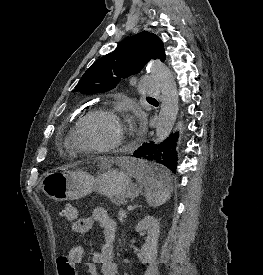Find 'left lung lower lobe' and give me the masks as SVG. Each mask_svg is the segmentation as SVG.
<instances>
[{
  "label": "left lung lower lobe",
  "mask_w": 263,
  "mask_h": 275,
  "mask_svg": "<svg viewBox=\"0 0 263 275\" xmlns=\"http://www.w3.org/2000/svg\"><path fill=\"white\" fill-rule=\"evenodd\" d=\"M178 137L179 135L176 132L159 144L152 141L143 143L134 151L132 156L156 163L157 167L150 166L149 174L159 180H168L171 173H176L178 161L176 142Z\"/></svg>",
  "instance_id": "obj_1"
}]
</instances>
